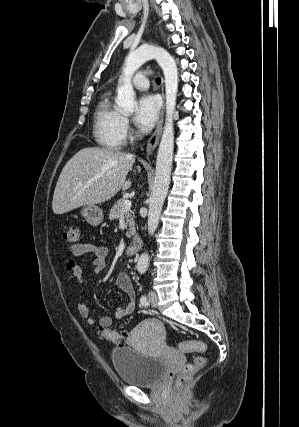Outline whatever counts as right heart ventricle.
Instances as JSON below:
<instances>
[{
	"label": "right heart ventricle",
	"instance_id": "e07e8e85",
	"mask_svg": "<svg viewBox=\"0 0 299 427\" xmlns=\"http://www.w3.org/2000/svg\"><path fill=\"white\" fill-rule=\"evenodd\" d=\"M123 114L114 106L111 93H104L94 113V137L97 143L108 150L120 149L125 141Z\"/></svg>",
	"mask_w": 299,
	"mask_h": 427
}]
</instances>
